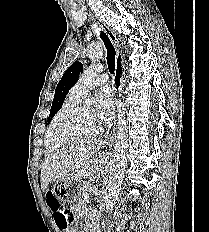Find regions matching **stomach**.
Instances as JSON below:
<instances>
[{
	"label": "stomach",
	"mask_w": 209,
	"mask_h": 232,
	"mask_svg": "<svg viewBox=\"0 0 209 232\" xmlns=\"http://www.w3.org/2000/svg\"><path fill=\"white\" fill-rule=\"evenodd\" d=\"M82 183L75 182L71 176H62L54 187V196L60 203H75V199H80Z\"/></svg>",
	"instance_id": "stomach-1"
}]
</instances>
